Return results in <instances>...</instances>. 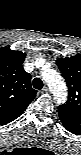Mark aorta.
I'll return each instance as SVG.
<instances>
[{
	"mask_svg": "<svg viewBox=\"0 0 81 155\" xmlns=\"http://www.w3.org/2000/svg\"><path fill=\"white\" fill-rule=\"evenodd\" d=\"M42 76L52 91L54 99L58 103L64 102L67 98V88L61 75L56 70L45 67Z\"/></svg>",
	"mask_w": 81,
	"mask_h": 155,
	"instance_id": "1",
	"label": "aorta"
}]
</instances>
